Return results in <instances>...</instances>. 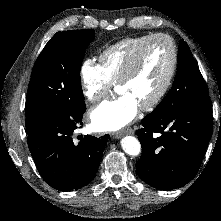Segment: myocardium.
Returning a JSON list of instances; mask_svg holds the SVG:
<instances>
[{
  "mask_svg": "<svg viewBox=\"0 0 221 221\" xmlns=\"http://www.w3.org/2000/svg\"><path fill=\"white\" fill-rule=\"evenodd\" d=\"M158 39H164L168 41V43L170 44V48H171L170 68H169L167 77L164 83L162 84L161 88L158 90V92L154 95V97L150 101L140 106V109L142 111H149V110L154 109L156 106H158V104L163 100L168 90L170 89V86L173 82V79L176 73L177 64H178V50H177V45L174 39L170 35L165 34V33H157V34L151 35L137 48V50L129 58L121 75L119 76L116 82V87L118 88L120 85L128 82L135 75V73L137 72L140 66L142 55L145 49L148 47L150 43Z\"/></svg>",
  "mask_w": 221,
  "mask_h": 221,
  "instance_id": "f54148a6",
  "label": "myocardium"
}]
</instances>
